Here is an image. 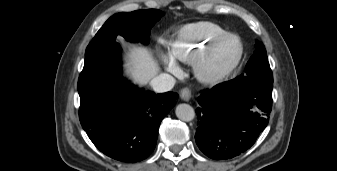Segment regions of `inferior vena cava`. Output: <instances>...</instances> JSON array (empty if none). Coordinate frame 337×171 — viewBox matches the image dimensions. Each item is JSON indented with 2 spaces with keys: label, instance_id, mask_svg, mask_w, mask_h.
I'll list each match as a JSON object with an SVG mask.
<instances>
[{
  "label": "inferior vena cava",
  "instance_id": "obj_1",
  "mask_svg": "<svg viewBox=\"0 0 337 171\" xmlns=\"http://www.w3.org/2000/svg\"><path fill=\"white\" fill-rule=\"evenodd\" d=\"M175 78L167 73H161L150 82L153 90L157 93L170 91L175 85Z\"/></svg>",
  "mask_w": 337,
  "mask_h": 171
}]
</instances>
